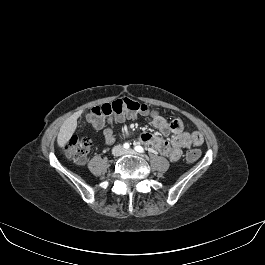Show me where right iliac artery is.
Here are the masks:
<instances>
[{"label": "right iliac artery", "instance_id": "82829eb1", "mask_svg": "<svg viewBox=\"0 0 265 265\" xmlns=\"http://www.w3.org/2000/svg\"><path fill=\"white\" fill-rule=\"evenodd\" d=\"M123 147H124L125 149H128V148L130 147V144H129V143H125V144L123 145Z\"/></svg>", "mask_w": 265, "mask_h": 265}]
</instances>
